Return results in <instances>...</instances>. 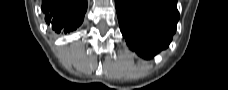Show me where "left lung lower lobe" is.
I'll list each match as a JSON object with an SVG mask.
<instances>
[{"mask_svg":"<svg viewBox=\"0 0 228 90\" xmlns=\"http://www.w3.org/2000/svg\"><path fill=\"white\" fill-rule=\"evenodd\" d=\"M121 32L140 56L168 47L179 20L177 0H115Z\"/></svg>","mask_w":228,"mask_h":90,"instance_id":"0a47b994","label":"left lung lower lobe"}]
</instances>
